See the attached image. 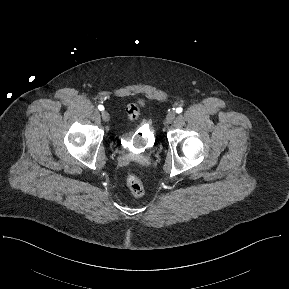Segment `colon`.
<instances>
[{"instance_id":"5ec220e1","label":"colon","mask_w":289,"mask_h":289,"mask_svg":"<svg viewBox=\"0 0 289 289\" xmlns=\"http://www.w3.org/2000/svg\"><path fill=\"white\" fill-rule=\"evenodd\" d=\"M146 100V97L140 96L131 102L127 110L128 129L121 136L123 147L129 151V156L124 159V166L126 168L124 181L131 193L137 196L143 193V186L141 180L128 168L138 160V151L142 146L143 138L145 136L142 129L137 126V119L139 106H142Z\"/></svg>"}]
</instances>
